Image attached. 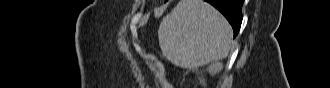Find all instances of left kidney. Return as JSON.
<instances>
[{
	"label": "left kidney",
	"instance_id": "left-kidney-1",
	"mask_svg": "<svg viewBox=\"0 0 330 88\" xmlns=\"http://www.w3.org/2000/svg\"><path fill=\"white\" fill-rule=\"evenodd\" d=\"M223 69V64L220 62L211 63L207 67V71L213 76L219 73Z\"/></svg>",
	"mask_w": 330,
	"mask_h": 88
}]
</instances>
